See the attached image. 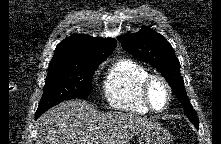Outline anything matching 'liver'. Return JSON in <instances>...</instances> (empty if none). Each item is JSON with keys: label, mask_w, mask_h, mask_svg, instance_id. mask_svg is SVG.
Wrapping results in <instances>:
<instances>
[{"label": "liver", "mask_w": 221, "mask_h": 144, "mask_svg": "<svg viewBox=\"0 0 221 144\" xmlns=\"http://www.w3.org/2000/svg\"><path fill=\"white\" fill-rule=\"evenodd\" d=\"M154 119L133 113H101L86 101H65L37 120L36 144H128Z\"/></svg>", "instance_id": "1"}]
</instances>
